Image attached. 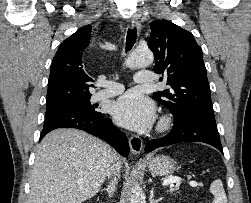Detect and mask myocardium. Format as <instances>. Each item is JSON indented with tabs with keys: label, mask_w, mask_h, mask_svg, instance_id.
<instances>
[{
	"label": "myocardium",
	"mask_w": 251,
	"mask_h": 203,
	"mask_svg": "<svg viewBox=\"0 0 251 203\" xmlns=\"http://www.w3.org/2000/svg\"><path fill=\"white\" fill-rule=\"evenodd\" d=\"M172 124V118L168 115L162 116L157 124V130L164 132L170 128Z\"/></svg>",
	"instance_id": "1"
}]
</instances>
